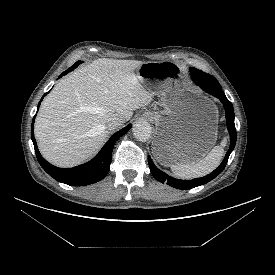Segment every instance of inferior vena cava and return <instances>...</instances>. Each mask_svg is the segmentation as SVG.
Wrapping results in <instances>:
<instances>
[{
	"label": "inferior vena cava",
	"mask_w": 275,
	"mask_h": 275,
	"mask_svg": "<svg viewBox=\"0 0 275 275\" xmlns=\"http://www.w3.org/2000/svg\"><path fill=\"white\" fill-rule=\"evenodd\" d=\"M124 123H125L124 117L119 114H115L110 118H108L106 125L109 130H114L116 128H119Z\"/></svg>",
	"instance_id": "inferior-vena-cava-1"
}]
</instances>
